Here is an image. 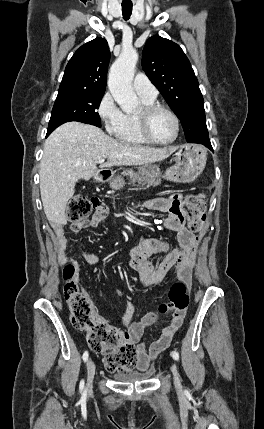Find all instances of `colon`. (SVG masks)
Returning <instances> with one entry per match:
<instances>
[{
  "instance_id": "5ec220e1",
  "label": "colon",
  "mask_w": 264,
  "mask_h": 429,
  "mask_svg": "<svg viewBox=\"0 0 264 429\" xmlns=\"http://www.w3.org/2000/svg\"><path fill=\"white\" fill-rule=\"evenodd\" d=\"M101 210V204L83 195L74 196L68 204L67 216L70 221H80L90 215L93 209ZM181 211L188 220L192 233L201 230L205 222V202L202 194L188 195ZM75 266L71 263L63 268L64 296L69 308L70 321L74 327L85 331L89 347L105 355V367L110 371L129 373L136 361V348L127 332H120L97 315L90 296L81 291L74 279ZM189 304V294L184 282H175L169 291V301L159 306L164 314L169 310L184 313Z\"/></svg>"
}]
</instances>
